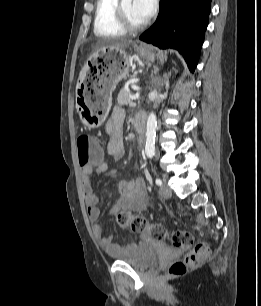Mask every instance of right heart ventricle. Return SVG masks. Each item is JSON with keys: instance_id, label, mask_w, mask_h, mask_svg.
<instances>
[{"instance_id": "1", "label": "right heart ventricle", "mask_w": 261, "mask_h": 306, "mask_svg": "<svg viewBox=\"0 0 261 306\" xmlns=\"http://www.w3.org/2000/svg\"><path fill=\"white\" fill-rule=\"evenodd\" d=\"M118 0H97L94 15V33L98 37L119 38L126 30L119 23L116 6Z\"/></svg>"}]
</instances>
